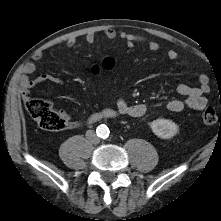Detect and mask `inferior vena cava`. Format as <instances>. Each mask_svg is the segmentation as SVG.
<instances>
[{"label": "inferior vena cava", "mask_w": 221, "mask_h": 221, "mask_svg": "<svg viewBox=\"0 0 221 221\" xmlns=\"http://www.w3.org/2000/svg\"><path fill=\"white\" fill-rule=\"evenodd\" d=\"M86 138L91 142L92 144H98L100 142L99 137L95 134L93 130H88L86 132Z\"/></svg>", "instance_id": "inferior-vena-cava-1"}]
</instances>
